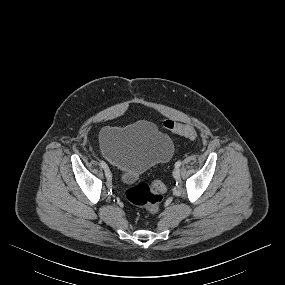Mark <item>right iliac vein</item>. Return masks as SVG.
<instances>
[{
    "label": "right iliac vein",
    "mask_w": 285,
    "mask_h": 285,
    "mask_svg": "<svg viewBox=\"0 0 285 285\" xmlns=\"http://www.w3.org/2000/svg\"><path fill=\"white\" fill-rule=\"evenodd\" d=\"M105 176L108 180L112 179L111 171L108 168L105 169Z\"/></svg>",
    "instance_id": "right-iliac-vein-1"
}]
</instances>
